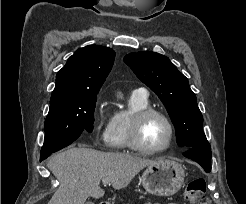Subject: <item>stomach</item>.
I'll use <instances>...</instances> for the list:
<instances>
[{
	"label": "stomach",
	"instance_id": "1",
	"mask_svg": "<svg viewBox=\"0 0 246 204\" xmlns=\"http://www.w3.org/2000/svg\"><path fill=\"white\" fill-rule=\"evenodd\" d=\"M184 178V167L180 163L161 159L147 167L142 174L141 181L149 194L171 196L179 191Z\"/></svg>",
	"mask_w": 246,
	"mask_h": 204
}]
</instances>
